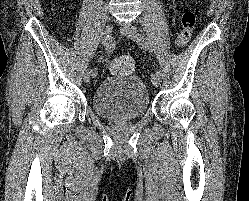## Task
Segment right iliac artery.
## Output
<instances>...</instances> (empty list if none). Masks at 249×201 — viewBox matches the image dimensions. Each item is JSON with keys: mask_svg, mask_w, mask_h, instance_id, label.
Instances as JSON below:
<instances>
[{"mask_svg": "<svg viewBox=\"0 0 249 201\" xmlns=\"http://www.w3.org/2000/svg\"><path fill=\"white\" fill-rule=\"evenodd\" d=\"M102 43H103L105 49L108 52H111V50H112V43H111L110 38H109L108 35L103 37ZM90 72H91V76L92 77H95L97 75V70L96 69H93Z\"/></svg>", "mask_w": 249, "mask_h": 201, "instance_id": "right-iliac-artery-1", "label": "right iliac artery"}]
</instances>
